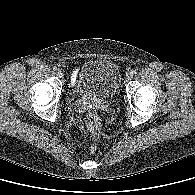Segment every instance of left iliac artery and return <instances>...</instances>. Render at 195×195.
I'll return each instance as SVG.
<instances>
[{"instance_id": "44dca946", "label": "left iliac artery", "mask_w": 195, "mask_h": 195, "mask_svg": "<svg viewBox=\"0 0 195 195\" xmlns=\"http://www.w3.org/2000/svg\"><path fill=\"white\" fill-rule=\"evenodd\" d=\"M131 73H132V74H137V71H136V70H134V71H132Z\"/></svg>"}]
</instances>
